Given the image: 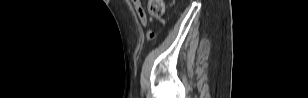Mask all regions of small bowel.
<instances>
[{
  "label": "small bowel",
  "instance_id": "c3829d8e",
  "mask_svg": "<svg viewBox=\"0 0 308 98\" xmlns=\"http://www.w3.org/2000/svg\"><path fill=\"white\" fill-rule=\"evenodd\" d=\"M132 3H133V6L135 8V11L137 13V16L139 18L140 23L142 24V26L147 27L148 18H147L146 12H145L140 0H133Z\"/></svg>",
  "mask_w": 308,
  "mask_h": 98
}]
</instances>
